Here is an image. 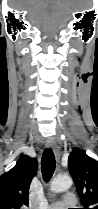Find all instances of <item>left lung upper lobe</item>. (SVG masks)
<instances>
[{"mask_svg":"<svg viewBox=\"0 0 98 209\" xmlns=\"http://www.w3.org/2000/svg\"><path fill=\"white\" fill-rule=\"evenodd\" d=\"M68 167L83 209H98V162L75 149L69 155Z\"/></svg>","mask_w":98,"mask_h":209,"instance_id":"left-lung-upper-lobe-1","label":"left lung upper lobe"}]
</instances>
